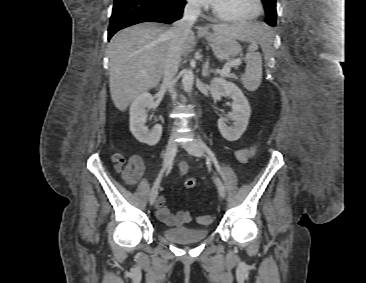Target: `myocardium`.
<instances>
[{"label":"myocardium","mask_w":366,"mask_h":283,"mask_svg":"<svg viewBox=\"0 0 366 283\" xmlns=\"http://www.w3.org/2000/svg\"><path fill=\"white\" fill-rule=\"evenodd\" d=\"M255 5H256V9H255L254 13H252L249 16H244V17H235V16L225 15V14L219 12L216 9V7L214 6V4H212L211 10H212L214 17L216 19H218L219 21L228 22V23H242V22H248V21L257 19L262 14L263 7H264L262 0H255Z\"/></svg>","instance_id":"obj_1"}]
</instances>
